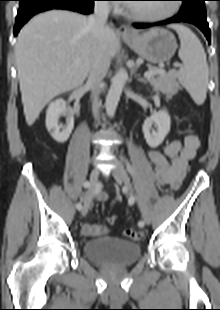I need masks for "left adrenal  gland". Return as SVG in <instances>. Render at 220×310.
I'll return each instance as SVG.
<instances>
[{"label": "left adrenal gland", "instance_id": "1", "mask_svg": "<svg viewBox=\"0 0 220 310\" xmlns=\"http://www.w3.org/2000/svg\"><path fill=\"white\" fill-rule=\"evenodd\" d=\"M138 81L141 82V83H143V84H146V83H147V81H146L145 79H143V78H138Z\"/></svg>", "mask_w": 220, "mask_h": 310}]
</instances>
